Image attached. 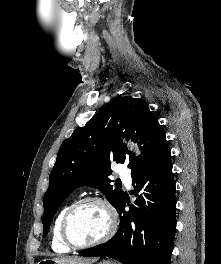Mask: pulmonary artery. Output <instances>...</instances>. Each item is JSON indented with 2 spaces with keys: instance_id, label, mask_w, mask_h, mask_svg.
I'll return each mask as SVG.
<instances>
[{
  "instance_id": "pulmonary-artery-1",
  "label": "pulmonary artery",
  "mask_w": 221,
  "mask_h": 264,
  "mask_svg": "<svg viewBox=\"0 0 221 264\" xmlns=\"http://www.w3.org/2000/svg\"><path fill=\"white\" fill-rule=\"evenodd\" d=\"M119 176L121 177V179H123L125 181V183L127 185L130 184L131 176H130V172L127 168L122 166L119 170Z\"/></svg>"
}]
</instances>
